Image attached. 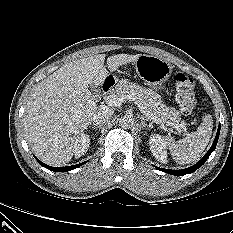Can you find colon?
I'll return each instance as SVG.
<instances>
[{
    "mask_svg": "<svg viewBox=\"0 0 233 233\" xmlns=\"http://www.w3.org/2000/svg\"><path fill=\"white\" fill-rule=\"evenodd\" d=\"M174 83L176 87V101L183 114L189 115L196 106L194 95V81L183 71L174 73Z\"/></svg>",
    "mask_w": 233,
    "mask_h": 233,
    "instance_id": "colon-1",
    "label": "colon"
}]
</instances>
